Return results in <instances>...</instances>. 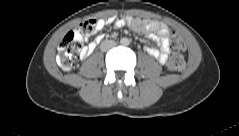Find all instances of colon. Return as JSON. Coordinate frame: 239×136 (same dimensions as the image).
<instances>
[{
	"label": "colon",
	"instance_id": "colon-1",
	"mask_svg": "<svg viewBox=\"0 0 239 136\" xmlns=\"http://www.w3.org/2000/svg\"><path fill=\"white\" fill-rule=\"evenodd\" d=\"M97 20L88 19L81 22L76 31L65 35L58 48V63L64 70H71L82 49L83 36H89L97 30ZM170 46L173 55L167 63L170 71H180L184 67L183 51L186 48L184 39L176 32H172Z\"/></svg>",
	"mask_w": 239,
	"mask_h": 136
}]
</instances>
